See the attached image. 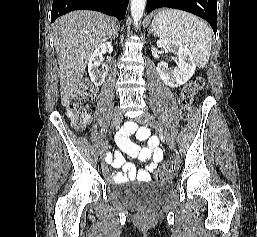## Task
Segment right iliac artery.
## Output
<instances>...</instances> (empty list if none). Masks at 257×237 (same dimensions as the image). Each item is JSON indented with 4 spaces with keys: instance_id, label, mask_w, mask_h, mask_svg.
<instances>
[{
    "instance_id": "obj_1",
    "label": "right iliac artery",
    "mask_w": 257,
    "mask_h": 237,
    "mask_svg": "<svg viewBox=\"0 0 257 237\" xmlns=\"http://www.w3.org/2000/svg\"><path fill=\"white\" fill-rule=\"evenodd\" d=\"M122 133V129L116 134V135H119ZM108 159V157L106 158V160Z\"/></svg>"
}]
</instances>
